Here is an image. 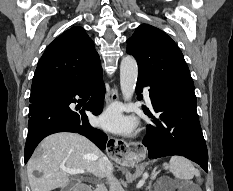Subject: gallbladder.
I'll use <instances>...</instances> for the list:
<instances>
[{"label":"gallbladder","instance_id":"bac80fb5","mask_svg":"<svg viewBox=\"0 0 233 191\" xmlns=\"http://www.w3.org/2000/svg\"><path fill=\"white\" fill-rule=\"evenodd\" d=\"M75 184V180H70L69 184L66 187L62 188L61 191H71Z\"/></svg>","mask_w":233,"mask_h":191}]
</instances>
